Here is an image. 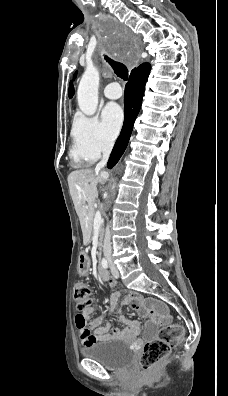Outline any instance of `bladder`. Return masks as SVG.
I'll return each instance as SVG.
<instances>
[{
  "label": "bladder",
  "instance_id": "31cf9c89",
  "mask_svg": "<svg viewBox=\"0 0 228 396\" xmlns=\"http://www.w3.org/2000/svg\"><path fill=\"white\" fill-rule=\"evenodd\" d=\"M83 357L91 359L111 370L127 368L133 361L130 344L122 339L95 342L81 348Z\"/></svg>",
  "mask_w": 228,
  "mask_h": 396
}]
</instances>
